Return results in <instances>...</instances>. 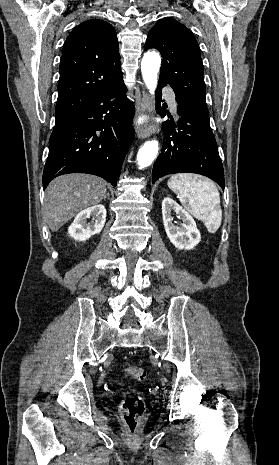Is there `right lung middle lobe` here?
<instances>
[{
  "label": "right lung middle lobe",
  "mask_w": 279,
  "mask_h": 465,
  "mask_svg": "<svg viewBox=\"0 0 279 465\" xmlns=\"http://www.w3.org/2000/svg\"><path fill=\"white\" fill-rule=\"evenodd\" d=\"M58 127H59V125H55V128H54L53 132H54ZM53 132H52V133H53Z\"/></svg>",
  "instance_id": "right-lung-middle-lobe-1"
}]
</instances>
